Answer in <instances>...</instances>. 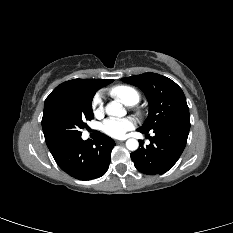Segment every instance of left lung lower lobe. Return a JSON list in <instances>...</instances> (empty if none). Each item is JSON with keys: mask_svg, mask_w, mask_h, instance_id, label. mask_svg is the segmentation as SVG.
Listing matches in <instances>:
<instances>
[{"mask_svg": "<svg viewBox=\"0 0 233 233\" xmlns=\"http://www.w3.org/2000/svg\"><path fill=\"white\" fill-rule=\"evenodd\" d=\"M189 130L190 118L164 123L154 129L155 136L149 138L150 144H142L130 154L137 170L148 175L163 174L170 170L186 146Z\"/></svg>", "mask_w": 233, "mask_h": 233, "instance_id": "1", "label": "left lung lower lobe"}]
</instances>
